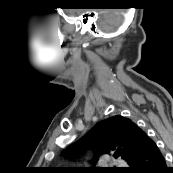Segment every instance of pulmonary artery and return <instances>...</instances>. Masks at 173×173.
Masks as SVG:
<instances>
[{"label": "pulmonary artery", "mask_w": 173, "mask_h": 173, "mask_svg": "<svg viewBox=\"0 0 173 173\" xmlns=\"http://www.w3.org/2000/svg\"><path fill=\"white\" fill-rule=\"evenodd\" d=\"M111 164H113V165H115V166H118V165H120L121 164V162H119V161H111L110 162Z\"/></svg>", "instance_id": "1"}]
</instances>
